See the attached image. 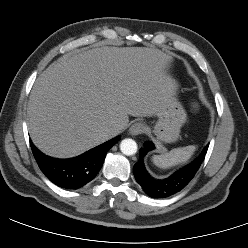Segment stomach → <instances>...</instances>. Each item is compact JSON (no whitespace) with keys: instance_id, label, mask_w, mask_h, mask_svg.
I'll list each match as a JSON object with an SVG mask.
<instances>
[{"instance_id":"1","label":"stomach","mask_w":248,"mask_h":248,"mask_svg":"<svg viewBox=\"0 0 248 248\" xmlns=\"http://www.w3.org/2000/svg\"><path fill=\"white\" fill-rule=\"evenodd\" d=\"M172 83V96L169 103L157 113L158 120L152 130L157 140L164 143L176 142L180 137V129L187 120L186 111L176 96L178 84L173 79Z\"/></svg>"}]
</instances>
